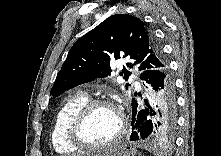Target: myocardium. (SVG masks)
Segmentation results:
<instances>
[{
  "instance_id": "1",
  "label": "myocardium",
  "mask_w": 221,
  "mask_h": 156,
  "mask_svg": "<svg viewBox=\"0 0 221 156\" xmlns=\"http://www.w3.org/2000/svg\"><path fill=\"white\" fill-rule=\"evenodd\" d=\"M100 107H108L116 112L119 120V127L114 136L108 141L100 144L88 143L81 137V129L89 114ZM125 130L126 122L117 105L107 99H92L84 103L71 117L67 126V139L74 147L79 149H104L117 143L125 133Z\"/></svg>"
}]
</instances>
